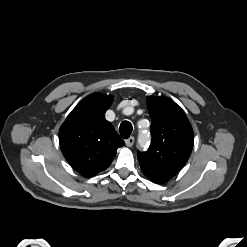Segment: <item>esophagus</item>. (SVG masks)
<instances>
[{"mask_svg": "<svg viewBox=\"0 0 247 247\" xmlns=\"http://www.w3.org/2000/svg\"><path fill=\"white\" fill-rule=\"evenodd\" d=\"M134 137H129L128 139L125 140L126 146L131 147L134 144Z\"/></svg>", "mask_w": 247, "mask_h": 247, "instance_id": "obj_1", "label": "esophagus"}]
</instances>
